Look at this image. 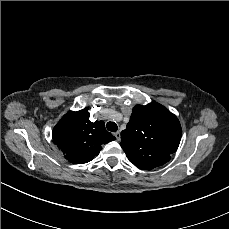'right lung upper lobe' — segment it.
I'll return each mask as SVG.
<instances>
[{"label":"right lung upper lobe","mask_w":229,"mask_h":229,"mask_svg":"<svg viewBox=\"0 0 229 229\" xmlns=\"http://www.w3.org/2000/svg\"><path fill=\"white\" fill-rule=\"evenodd\" d=\"M88 108L69 111L53 129V142L65 155L76 164L91 161L101 150V146L115 137L109 133L103 121L91 122Z\"/></svg>","instance_id":"obj_1"}]
</instances>
